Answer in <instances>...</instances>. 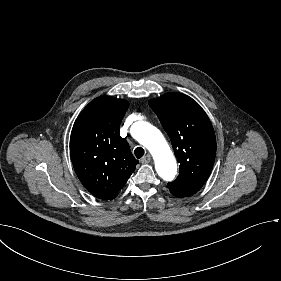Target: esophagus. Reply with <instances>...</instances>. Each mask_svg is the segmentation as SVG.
Instances as JSON below:
<instances>
[{"label":"esophagus","instance_id":"esophagus-1","mask_svg":"<svg viewBox=\"0 0 281 281\" xmlns=\"http://www.w3.org/2000/svg\"><path fill=\"white\" fill-rule=\"evenodd\" d=\"M151 161V155L150 154H147L142 160H141V162L143 163V164H147V163H149Z\"/></svg>","mask_w":281,"mask_h":281}]
</instances>
